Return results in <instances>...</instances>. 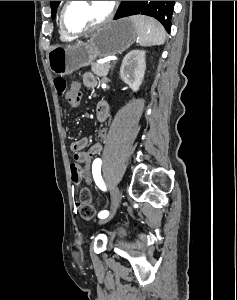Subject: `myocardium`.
<instances>
[{
    "label": "myocardium",
    "instance_id": "f54148a6",
    "mask_svg": "<svg viewBox=\"0 0 237 300\" xmlns=\"http://www.w3.org/2000/svg\"><path fill=\"white\" fill-rule=\"evenodd\" d=\"M70 2L71 1H65V3L63 4L61 12H60V19H59L61 31L63 32L64 35L69 36V37H77V36L83 35L85 33L95 31V30H98V29H101V28L107 26L113 20L115 14H116V10H117V1H110L109 2L110 3L109 12L103 20H101L100 22H98L90 27H87L81 31L72 32L66 27V24H65V12H66V9H67L68 5L70 4Z\"/></svg>",
    "mask_w": 237,
    "mask_h": 300
}]
</instances>
